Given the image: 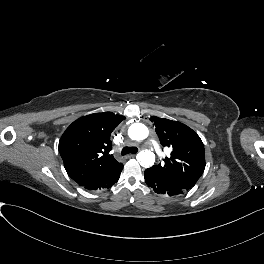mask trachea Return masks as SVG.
<instances>
[{
  "mask_svg": "<svg viewBox=\"0 0 264 264\" xmlns=\"http://www.w3.org/2000/svg\"><path fill=\"white\" fill-rule=\"evenodd\" d=\"M137 149L135 147H124L122 150V155H126L129 153H136Z\"/></svg>",
  "mask_w": 264,
  "mask_h": 264,
  "instance_id": "1",
  "label": "trachea"
}]
</instances>
